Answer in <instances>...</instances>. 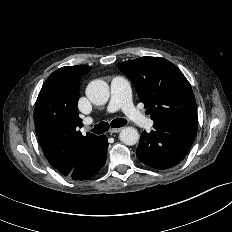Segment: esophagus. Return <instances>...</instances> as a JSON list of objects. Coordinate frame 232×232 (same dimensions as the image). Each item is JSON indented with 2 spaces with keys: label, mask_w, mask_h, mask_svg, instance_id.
<instances>
[{
  "label": "esophagus",
  "mask_w": 232,
  "mask_h": 232,
  "mask_svg": "<svg viewBox=\"0 0 232 232\" xmlns=\"http://www.w3.org/2000/svg\"><path fill=\"white\" fill-rule=\"evenodd\" d=\"M122 130V128L118 127V128H111L109 130L110 134H114V133H118Z\"/></svg>",
  "instance_id": "34e87169"
}]
</instances>
